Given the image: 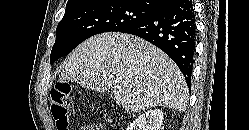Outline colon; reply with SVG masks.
I'll use <instances>...</instances> for the list:
<instances>
[{"label":"colon","mask_w":249,"mask_h":130,"mask_svg":"<svg viewBox=\"0 0 249 130\" xmlns=\"http://www.w3.org/2000/svg\"><path fill=\"white\" fill-rule=\"evenodd\" d=\"M51 114L58 130H67L73 114L74 100L71 86L67 83L56 84L50 91Z\"/></svg>","instance_id":"5ec220e1"}]
</instances>
